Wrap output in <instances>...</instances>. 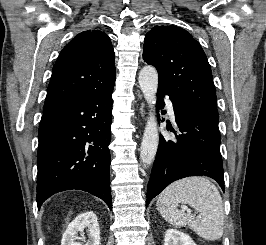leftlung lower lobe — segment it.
Listing matches in <instances>:
<instances>
[{
  "label": "left lung lower lobe",
  "instance_id": "left-lung-lower-lobe-1",
  "mask_svg": "<svg viewBox=\"0 0 266 245\" xmlns=\"http://www.w3.org/2000/svg\"><path fill=\"white\" fill-rule=\"evenodd\" d=\"M164 95L170 96L175 121L182 134L177 135V140L173 141L160 136L147 187L146 206L170 183L189 176L211 177L225 191L219 148V117L175 99L161 87H158L157 92L158 110L164 107Z\"/></svg>",
  "mask_w": 266,
  "mask_h": 245
}]
</instances>
